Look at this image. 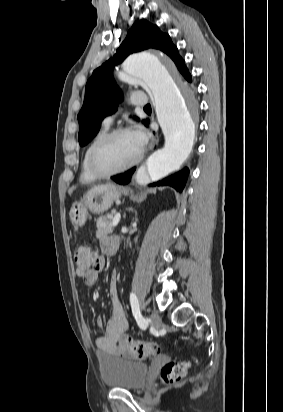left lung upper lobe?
<instances>
[{"label": "left lung upper lobe", "instance_id": "left-lung-upper-lobe-1", "mask_svg": "<svg viewBox=\"0 0 283 412\" xmlns=\"http://www.w3.org/2000/svg\"><path fill=\"white\" fill-rule=\"evenodd\" d=\"M149 48L158 49L167 54L184 77L189 74L184 60L180 57L177 47L173 45L168 34L163 33L158 26L146 20L136 22L128 31L114 57L97 68L86 84L84 103L78 114V140L81 146L86 145L97 135L100 130V121L112 114L118 102L123 100L112 76L115 63H121L128 55Z\"/></svg>", "mask_w": 283, "mask_h": 412}]
</instances>
